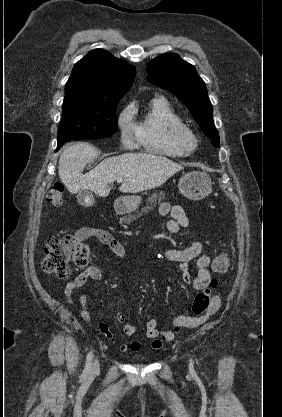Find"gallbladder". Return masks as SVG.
<instances>
[{
  "label": "gallbladder",
  "mask_w": 282,
  "mask_h": 417,
  "mask_svg": "<svg viewBox=\"0 0 282 417\" xmlns=\"http://www.w3.org/2000/svg\"><path fill=\"white\" fill-rule=\"evenodd\" d=\"M77 198L80 204H84V206H87V204H89V202L93 200V194L92 192H90V190H87V188H82V190H79V192H77Z\"/></svg>",
  "instance_id": "obj_1"
}]
</instances>
